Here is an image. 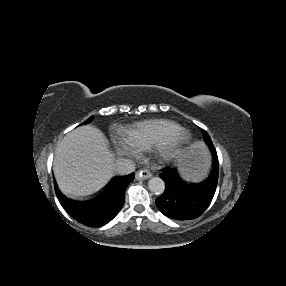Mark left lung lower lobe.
<instances>
[{
	"label": "left lung lower lobe",
	"mask_w": 286,
	"mask_h": 286,
	"mask_svg": "<svg viewBox=\"0 0 286 286\" xmlns=\"http://www.w3.org/2000/svg\"><path fill=\"white\" fill-rule=\"evenodd\" d=\"M214 165L210 176L201 183L183 181L176 169H166L159 176L165 181L164 193L156 199L157 208L167 217L189 220L199 217L209 206L218 182L219 163L211 148Z\"/></svg>",
	"instance_id": "1"
}]
</instances>
